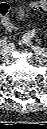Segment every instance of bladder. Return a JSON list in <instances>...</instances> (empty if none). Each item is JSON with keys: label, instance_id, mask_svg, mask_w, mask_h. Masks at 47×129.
Listing matches in <instances>:
<instances>
[{"label": "bladder", "instance_id": "obj_1", "mask_svg": "<svg viewBox=\"0 0 47 129\" xmlns=\"http://www.w3.org/2000/svg\"><path fill=\"white\" fill-rule=\"evenodd\" d=\"M17 15L20 19H24L26 17V12L22 8H19L17 11Z\"/></svg>", "mask_w": 47, "mask_h": 129}]
</instances>
